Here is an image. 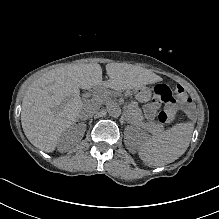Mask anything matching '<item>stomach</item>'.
<instances>
[{"label":"stomach","mask_w":219,"mask_h":219,"mask_svg":"<svg viewBox=\"0 0 219 219\" xmlns=\"http://www.w3.org/2000/svg\"><path fill=\"white\" fill-rule=\"evenodd\" d=\"M150 91L146 87H140L136 90V96L139 100L146 101L149 99Z\"/></svg>","instance_id":"0dacf381"}]
</instances>
